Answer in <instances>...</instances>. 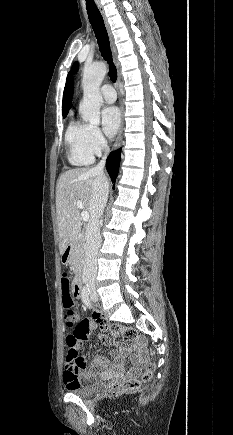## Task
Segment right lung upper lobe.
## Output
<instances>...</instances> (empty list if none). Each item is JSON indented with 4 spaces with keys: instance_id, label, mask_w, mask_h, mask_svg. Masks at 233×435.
Wrapping results in <instances>:
<instances>
[{
    "instance_id": "cb5924a9",
    "label": "right lung upper lobe",
    "mask_w": 233,
    "mask_h": 435,
    "mask_svg": "<svg viewBox=\"0 0 233 435\" xmlns=\"http://www.w3.org/2000/svg\"><path fill=\"white\" fill-rule=\"evenodd\" d=\"M73 92H74L73 78H72L71 72H69L67 79H66V84H65L64 93H63V101H62V114L63 115H67L69 109L71 108Z\"/></svg>"
}]
</instances>
